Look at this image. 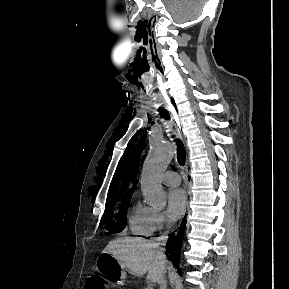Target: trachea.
<instances>
[{
  "instance_id": "3493384b",
  "label": "trachea",
  "mask_w": 289,
  "mask_h": 289,
  "mask_svg": "<svg viewBox=\"0 0 289 289\" xmlns=\"http://www.w3.org/2000/svg\"><path fill=\"white\" fill-rule=\"evenodd\" d=\"M163 115L166 119H169V114L166 110H163ZM177 145V160L181 166L185 164L186 160V151L181 140L175 139Z\"/></svg>"
}]
</instances>
